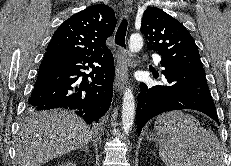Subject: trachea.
I'll return each instance as SVG.
<instances>
[{
    "label": "trachea",
    "instance_id": "trachea-1",
    "mask_svg": "<svg viewBox=\"0 0 231 166\" xmlns=\"http://www.w3.org/2000/svg\"><path fill=\"white\" fill-rule=\"evenodd\" d=\"M126 31H127V19L123 18L115 35V43L123 48H126L125 45Z\"/></svg>",
    "mask_w": 231,
    "mask_h": 166
}]
</instances>
